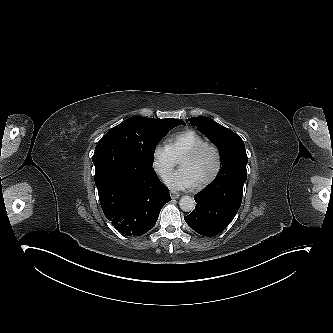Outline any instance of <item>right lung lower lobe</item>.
I'll return each instance as SVG.
<instances>
[{
    "mask_svg": "<svg viewBox=\"0 0 333 333\" xmlns=\"http://www.w3.org/2000/svg\"><path fill=\"white\" fill-rule=\"evenodd\" d=\"M92 159L95 184L107 219L128 236L148 232L162 207L171 200L154 169L112 138L100 139Z\"/></svg>",
    "mask_w": 333,
    "mask_h": 333,
    "instance_id": "1",
    "label": "right lung lower lobe"
}]
</instances>
